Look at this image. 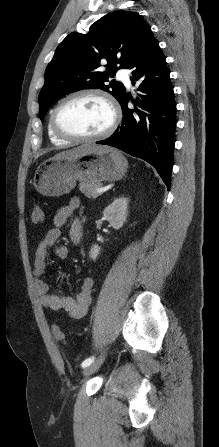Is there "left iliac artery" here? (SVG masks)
<instances>
[{
	"label": "left iliac artery",
	"instance_id": "left-iliac-artery-1",
	"mask_svg": "<svg viewBox=\"0 0 219 447\" xmlns=\"http://www.w3.org/2000/svg\"><path fill=\"white\" fill-rule=\"evenodd\" d=\"M94 361V357L87 358L84 360L81 364L82 368H85L86 366L90 365Z\"/></svg>",
	"mask_w": 219,
	"mask_h": 447
}]
</instances>
